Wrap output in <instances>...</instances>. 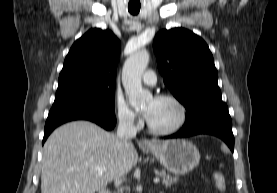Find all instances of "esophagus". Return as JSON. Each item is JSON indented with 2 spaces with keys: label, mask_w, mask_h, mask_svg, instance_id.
<instances>
[{
  "label": "esophagus",
  "mask_w": 277,
  "mask_h": 193,
  "mask_svg": "<svg viewBox=\"0 0 277 193\" xmlns=\"http://www.w3.org/2000/svg\"><path fill=\"white\" fill-rule=\"evenodd\" d=\"M141 144L145 145V146H150V145H152V142L147 139H142Z\"/></svg>",
  "instance_id": "1"
}]
</instances>
